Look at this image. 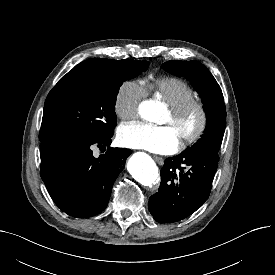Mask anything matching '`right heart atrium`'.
Here are the masks:
<instances>
[{
  "instance_id": "1",
  "label": "right heart atrium",
  "mask_w": 275,
  "mask_h": 275,
  "mask_svg": "<svg viewBox=\"0 0 275 275\" xmlns=\"http://www.w3.org/2000/svg\"><path fill=\"white\" fill-rule=\"evenodd\" d=\"M147 94L146 88L137 80H127L117 89L114 97V112L122 120L138 115L140 103Z\"/></svg>"
}]
</instances>
